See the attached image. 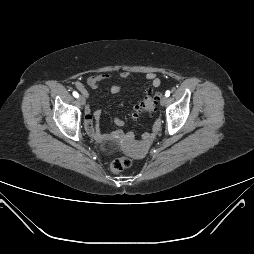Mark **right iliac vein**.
Listing matches in <instances>:
<instances>
[{"mask_svg":"<svg viewBox=\"0 0 254 254\" xmlns=\"http://www.w3.org/2000/svg\"><path fill=\"white\" fill-rule=\"evenodd\" d=\"M78 101H79V103H80L81 105H85V103H86V100H85V98H84L83 96H79V97H78Z\"/></svg>","mask_w":254,"mask_h":254,"instance_id":"obj_1","label":"right iliac vein"}]
</instances>
